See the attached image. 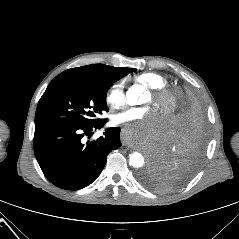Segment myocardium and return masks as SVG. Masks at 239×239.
<instances>
[{
    "instance_id": "1",
    "label": "myocardium",
    "mask_w": 239,
    "mask_h": 239,
    "mask_svg": "<svg viewBox=\"0 0 239 239\" xmlns=\"http://www.w3.org/2000/svg\"><path fill=\"white\" fill-rule=\"evenodd\" d=\"M149 94L152 98L154 106L163 114H171L178 104L176 94L168 89H150Z\"/></svg>"
}]
</instances>
